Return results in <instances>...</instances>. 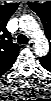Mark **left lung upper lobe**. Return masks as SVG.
Masks as SVG:
<instances>
[{"mask_svg": "<svg viewBox=\"0 0 51 101\" xmlns=\"http://www.w3.org/2000/svg\"><path fill=\"white\" fill-rule=\"evenodd\" d=\"M28 5L42 20L46 37L49 39L51 36V2L47 1L43 4L28 3ZM41 58L51 63L50 52Z\"/></svg>", "mask_w": 51, "mask_h": 101, "instance_id": "obj_1", "label": "left lung upper lobe"}]
</instances>
